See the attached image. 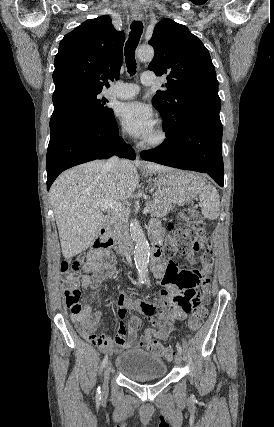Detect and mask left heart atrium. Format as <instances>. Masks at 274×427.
Listing matches in <instances>:
<instances>
[{"mask_svg":"<svg viewBox=\"0 0 274 427\" xmlns=\"http://www.w3.org/2000/svg\"><path fill=\"white\" fill-rule=\"evenodd\" d=\"M116 116L122 127L137 138H147L156 128L152 109L140 101L119 104Z\"/></svg>","mask_w":274,"mask_h":427,"instance_id":"obj_1","label":"left heart atrium"}]
</instances>
